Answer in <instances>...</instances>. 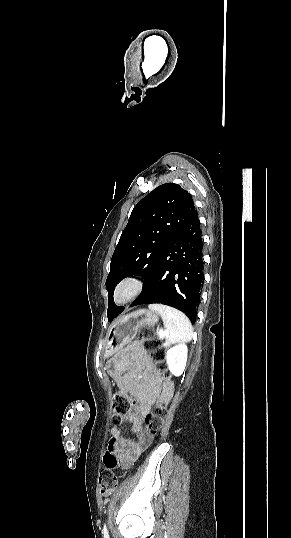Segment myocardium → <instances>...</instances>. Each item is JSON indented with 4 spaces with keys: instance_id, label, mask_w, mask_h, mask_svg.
<instances>
[{
    "instance_id": "f54148a6",
    "label": "myocardium",
    "mask_w": 291,
    "mask_h": 538,
    "mask_svg": "<svg viewBox=\"0 0 291 538\" xmlns=\"http://www.w3.org/2000/svg\"><path fill=\"white\" fill-rule=\"evenodd\" d=\"M144 282L137 276H127L115 286L112 299L117 305L126 304L141 294Z\"/></svg>"
}]
</instances>
